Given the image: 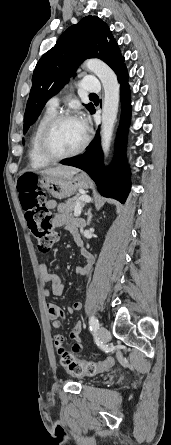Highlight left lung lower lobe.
Returning <instances> with one entry per match:
<instances>
[{"instance_id": "1", "label": "left lung lower lobe", "mask_w": 171, "mask_h": 445, "mask_svg": "<svg viewBox=\"0 0 171 445\" xmlns=\"http://www.w3.org/2000/svg\"><path fill=\"white\" fill-rule=\"evenodd\" d=\"M121 84V120L118 130V142L125 144L127 129L130 122V94L127 83V69L125 65L121 66L115 72ZM91 113H95V108ZM122 146L119 149L115 162L106 175L102 163V150L100 147L99 130L95 136L94 141L87 147V151L77 157H72L60 161L64 165H70L80 168L88 173V175L95 181L99 192L105 197H111L124 203L130 191V170L125 163Z\"/></svg>"}]
</instances>
